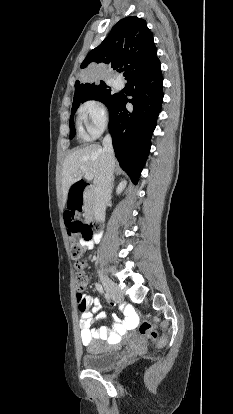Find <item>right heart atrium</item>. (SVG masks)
I'll list each match as a JSON object with an SVG mask.
<instances>
[{
  "label": "right heart atrium",
  "mask_w": 233,
  "mask_h": 414,
  "mask_svg": "<svg viewBox=\"0 0 233 414\" xmlns=\"http://www.w3.org/2000/svg\"><path fill=\"white\" fill-rule=\"evenodd\" d=\"M78 112L85 125V137L96 138L106 129L109 122V111L101 100L91 99L84 102Z\"/></svg>",
  "instance_id": "obj_1"
}]
</instances>
